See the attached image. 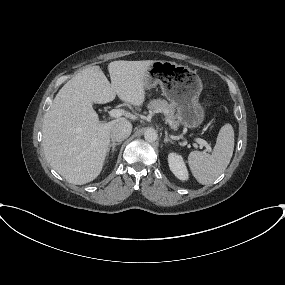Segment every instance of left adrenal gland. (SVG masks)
Returning <instances> with one entry per match:
<instances>
[{
	"instance_id": "1",
	"label": "left adrenal gland",
	"mask_w": 285,
	"mask_h": 285,
	"mask_svg": "<svg viewBox=\"0 0 285 285\" xmlns=\"http://www.w3.org/2000/svg\"><path fill=\"white\" fill-rule=\"evenodd\" d=\"M164 143L167 144V143H171L173 144V141L168 137V133L167 131H165V139H164Z\"/></svg>"
}]
</instances>
